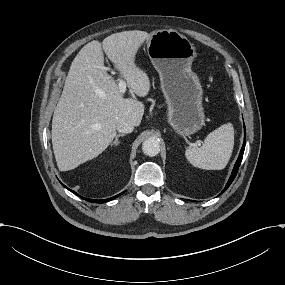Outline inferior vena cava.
Wrapping results in <instances>:
<instances>
[{"label":"inferior vena cava","instance_id":"inferior-vena-cava-1","mask_svg":"<svg viewBox=\"0 0 285 285\" xmlns=\"http://www.w3.org/2000/svg\"><path fill=\"white\" fill-rule=\"evenodd\" d=\"M134 129V125L128 121H120L117 124V130L121 133H131Z\"/></svg>","mask_w":285,"mask_h":285}]
</instances>
